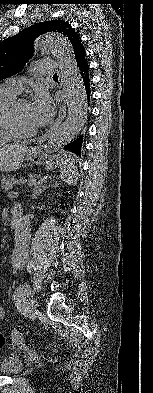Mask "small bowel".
Returning <instances> with one entry per match:
<instances>
[{
	"label": "small bowel",
	"mask_w": 153,
	"mask_h": 393,
	"mask_svg": "<svg viewBox=\"0 0 153 393\" xmlns=\"http://www.w3.org/2000/svg\"><path fill=\"white\" fill-rule=\"evenodd\" d=\"M4 316V309L0 307V319H2Z\"/></svg>",
	"instance_id": "c3829d8e"
}]
</instances>
